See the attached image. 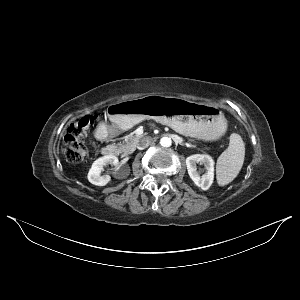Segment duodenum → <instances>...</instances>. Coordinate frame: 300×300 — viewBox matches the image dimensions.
Returning a JSON list of instances; mask_svg holds the SVG:
<instances>
[{
    "label": "duodenum",
    "instance_id": "410a0bca",
    "mask_svg": "<svg viewBox=\"0 0 300 300\" xmlns=\"http://www.w3.org/2000/svg\"><path fill=\"white\" fill-rule=\"evenodd\" d=\"M109 132L110 131H109L108 128L102 127V128L97 130L96 138L98 140H104L105 138H107L109 136ZM102 153L105 156H115L117 154V149L113 145H107V146L103 147Z\"/></svg>",
    "mask_w": 300,
    "mask_h": 300
}]
</instances>
